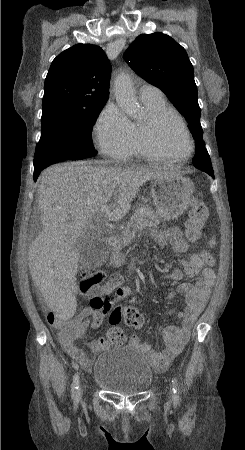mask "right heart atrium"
<instances>
[{
  "label": "right heart atrium",
  "instance_id": "right-heart-atrium-1",
  "mask_svg": "<svg viewBox=\"0 0 245 450\" xmlns=\"http://www.w3.org/2000/svg\"><path fill=\"white\" fill-rule=\"evenodd\" d=\"M95 144L106 157L118 161L128 159L134 150L133 123L113 102L100 113L94 127Z\"/></svg>",
  "mask_w": 245,
  "mask_h": 450
}]
</instances>
